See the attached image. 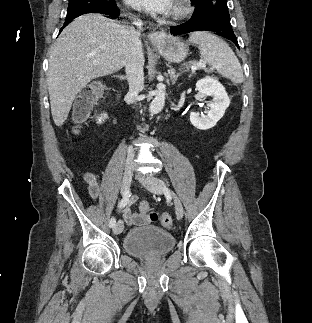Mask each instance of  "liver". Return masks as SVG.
<instances>
[{
    "instance_id": "6515ba94",
    "label": "liver",
    "mask_w": 312,
    "mask_h": 323,
    "mask_svg": "<svg viewBox=\"0 0 312 323\" xmlns=\"http://www.w3.org/2000/svg\"><path fill=\"white\" fill-rule=\"evenodd\" d=\"M128 54L125 28L118 22L103 14L75 18L49 50L47 84L54 124H64L77 94L89 82L124 68Z\"/></svg>"
}]
</instances>
